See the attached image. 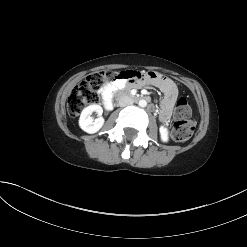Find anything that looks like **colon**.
<instances>
[{
  "label": "colon",
  "instance_id": "1",
  "mask_svg": "<svg viewBox=\"0 0 247 247\" xmlns=\"http://www.w3.org/2000/svg\"><path fill=\"white\" fill-rule=\"evenodd\" d=\"M122 73V72H121ZM116 72L105 70L90 74L81 84L76 86L67 103L68 112L71 116H78L82 110L99 101V92L107 82L113 81ZM191 108L187 100L179 98L174 110V124L172 137L175 141L188 140L194 131V123L190 120Z\"/></svg>",
  "mask_w": 247,
  "mask_h": 247
}]
</instances>
